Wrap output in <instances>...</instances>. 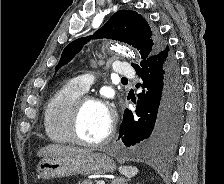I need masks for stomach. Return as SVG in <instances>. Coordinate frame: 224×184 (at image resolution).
Here are the masks:
<instances>
[{"label": "stomach", "instance_id": "1", "mask_svg": "<svg viewBox=\"0 0 224 184\" xmlns=\"http://www.w3.org/2000/svg\"><path fill=\"white\" fill-rule=\"evenodd\" d=\"M114 162L104 153L85 152L61 157L42 159L38 166V175L46 180L71 175L105 174L113 172Z\"/></svg>", "mask_w": 224, "mask_h": 184}]
</instances>
